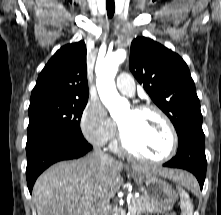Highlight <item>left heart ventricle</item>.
I'll list each match as a JSON object with an SVG mask.
<instances>
[{
  "label": "left heart ventricle",
  "mask_w": 221,
  "mask_h": 215,
  "mask_svg": "<svg viewBox=\"0 0 221 215\" xmlns=\"http://www.w3.org/2000/svg\"><path fill=\"white\" fill-rule=\"evenodd\" d=\"M119 125L128 145L135 152L151 158H159L168 152L170 136L155 113L129 110L119 120Z\"/></svg>",
  "instance_id": "obj_1"
}]
</instances>
